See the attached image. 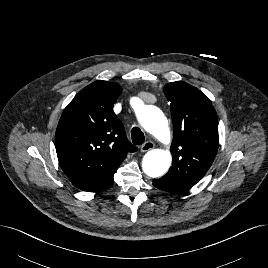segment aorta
Wrapping results in <instances>:
<instances>
[{
  "label": "aorta",
  "instance_id": "obj_1",
  "mask_svg": "<svg viewBox=\"0 0 268 268\" xmlns=\"http://www.w3.org/2000/svg\"><path fill=\"white\" fill-rule=\"evenodd\" d=\"M141 126L162 143H169L170 130L163 112L155 106L147 105L137 113ZM172 156L169 151L153 149L145 154L142 160L143 172L151 177L163 176L170 168Z\"/></svg>",
  "mask_w": 268,
  "mask_h": 268
}]
</instances>
